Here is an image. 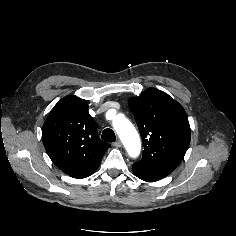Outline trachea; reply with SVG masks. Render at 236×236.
I'll list each match as a JSON object with an SVG mask.
<instances>
[{"mask_svg":"<svg viewBox=\"0 0 236 236\" xmlns=\"http://www.w3.org/2000/svg\"><path fill=\"white\" fill-rule=\"evenodd\" d=\"M101 138L106 142H115L116 136L112 129H105L102 132Z\"/></svg>","mask_w":236,"mask_h":236,"instance_id":"1","label":"trachea"}]
</instances>
